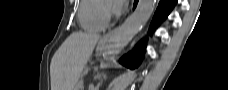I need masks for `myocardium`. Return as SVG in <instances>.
Segmentation results:
<instances>
[{
	"label": "myocardium",
	"mask_w": 228,
	"mask_h": 90,
	"mask_svg": "<svg viewBox=\"0 0 228 90\" xmlns=\"http://www.w3.org/2000/svg\"><path fill=\"white\" fill-rule=\"evenodd\" d=\"M103 16L106 20H108L110 18V11H109V5L105 4L103 6Z\"/></svg>",
	"instance_id": "1"
}]
</instances>
